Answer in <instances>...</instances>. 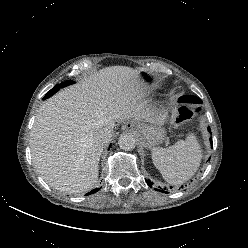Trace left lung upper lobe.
Masks as SVG:
<instances>
[{"label": "left lung upper lobe", "instance_id": "5c2ea615", "mask_svg": "<svg viewBox=\"0 0 248 248\" xmlns=\"http://www.w3.org/2000/svg\"><path fill=\"white\" fill-rule=\"evenodd\" d=\"M179 102L201 103L202 101L196 96L187 95L180 97Z\"/></svg>", "mask_w": 248, "mask_h": 248}]
</instances>
